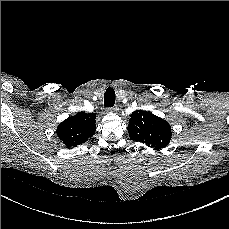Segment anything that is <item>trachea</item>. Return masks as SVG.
<instances>
[{"label":"trachea","instance_id":"trachea-1","mask_svg":"<svg viewBox=\"0 0 229 229\" xmlns=\"http://www.w3.org/2000/svg\"><path fill=\"white\" fill-rule=\"evenodd\" d=\"M115 104V91L113 88L108 87L104 93L105 107H113Z\"/></svg>","mask_w":229,"mask_h":229}]
</instances>
